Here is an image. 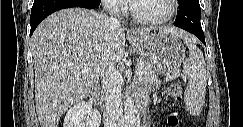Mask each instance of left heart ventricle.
<instances>
[{
	"instance_id": "left-heart-ventricle-1",
	"label": "left heart ventricle",
	"mask_w": 243,
	"mask_h": 127,
	"mask_svg": "<svg viewBox=\"0 0 243 127\" xmlns=\"http://www.w3.org/2000/svg\"><path fill=\"white\" fill-rule=\"evenodd\" d=\"M134 6L137 14L146 18L162 17L169 11L167 0H137Z\"/></svg>"
}]
</instances>
